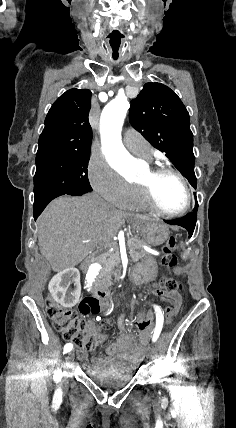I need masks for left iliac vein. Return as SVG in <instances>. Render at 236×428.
Returning a JSON list of instances; mask_svg holds the SVG:
<instances>
[{"label": "left iliac vein", "mask_w": 236, "mask_h": 428, "mask_svg": "<svg viewBox=\"0 0 236 428\" xmlns=\"http://www.w3.org/2000/svg\"><path fill=\"white\" fill-rule=\"evenodd\" d=\"M149 354H150V360H153V358H156V357H157L158 351L153 347V348L149 351Z\"/></svg>", "instance_id": "1"}]
</instances>
